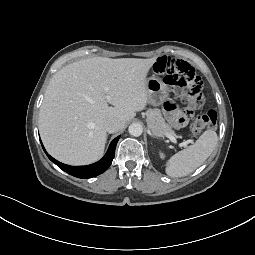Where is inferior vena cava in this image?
Returning a JSON list of instances; mask_svg holds the SVG:
<instances>
[{"mask_svg":"<svg viewBox=\"0 0 255 255\" xmlns=\"http://www.w3.org/2000/svg\"><path fill=\"white\" fill-rule=\"evenodd\" d=\"M123 122L116 118H109L105 121L104 127L108 133H116L123 127Z\"/></svg>","mask_w":255,"mask_h":255,"instance_id":"obj_1","label":"inferior vena cava"}]
</instances>
